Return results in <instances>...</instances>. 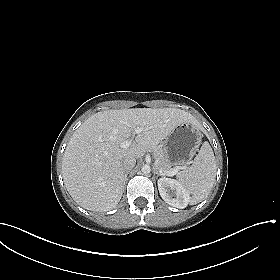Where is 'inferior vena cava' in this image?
Instances as JSON below:
<instances>
[{"mask_svg": "<svg viewBox=\"0 0 280 280\" xmlns=\"http://www.w3.org/2000/svg\"><path fill=\"white\" fill-rule=\"evenodd\" d=\"M136 164V159L133 156H126L123 160V168L127 172L134 168Z\"/></svg>", "mask_w": 280, "mask_h": 280, "instance_id": "inferior-vena-cava-1", "label": "inferior vena cava"}]
</instances>
